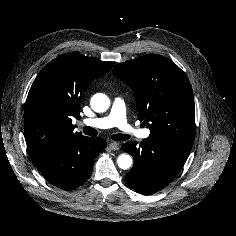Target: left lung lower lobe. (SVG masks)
<instances>
[{"label":"left lung lower lobe","instance_id":"1","mask_svg":"<svg viewBox=\"0 0 236 236\" xmlns=\"http://www.w3.org/2000/svg\"><path fill=\"white\" fill-rule=\"evenodd\" d=\"M192 146L149 136L140 144L129 141L121 149L131 154L134 164L125 176L127 183L143 195L154 194L176 176Z\"/></svg>","mask_w":236,"mask_h":236}]
</instances>
